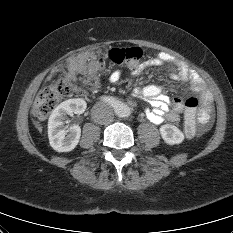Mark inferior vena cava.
Here are the masks:
<instances>
[{
    "instance_id": "1",
    "label": "inferior vena cava",
    "mask_w": 233,
    "mask_h": 233,
    "mask_svg": "<svg viewBox=\"0 0 233 233\" xmlns=\"http://www.w3.org/2000/svg\"><path fill=\"white\" fill-rule=\"evenodd\" d=\"M113 110L105 103H98L93 109V119L99 124H110L113 121Z\"/></svg>"
}]
</instances>
